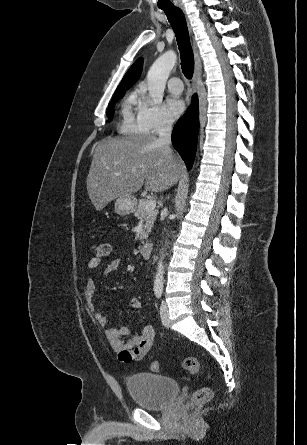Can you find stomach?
Instances as JSON below:
<instances>
[{"mask_svg":"<svg viewBox=\"0 0 307 445\" xmlns=\"http://www.w3.org/2000/svg\"><path fill=\"white\" fill-rule=\"evenodd\" d=\"M135 208L136 200L134 196H119V198H116L115 200V212H117V214L125 216V214L133 212Z\"/></svg>","mask_w":307,"mask_h":445,"instance_id":"0dacf381","label":"stomach"}]
</instances>
